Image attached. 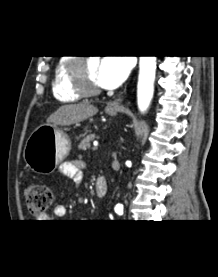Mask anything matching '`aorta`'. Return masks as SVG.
I'll list each match as a JSON object with an SVG mask.
<instances>
[{"instance_id":"aorta-1","label":"aorta","mask_w":218,"mask_h":277,"mask_svg":"<svg viewBox=\"0 0 218 277\" xmlns=\"http://www.w3.org/2000/svg\"><path fill=\"white\" fill-rule=\"evenodd\" d=\"M155 74L156 56H140L137 103L141 113L147 111L153 98ZM115 211L121 215L123 213V206L121 204H117Z\"/></svg>"}]
</instances>
